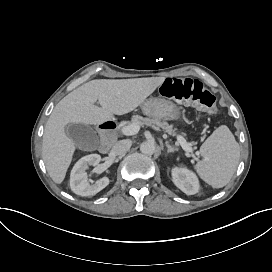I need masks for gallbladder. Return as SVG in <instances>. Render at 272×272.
<instances>
[{
  "instance_id": "1",
  "label": "gallbladder",
  "mask_w": 272,
  "mask_h": 272,
  "mask_svg": "<svg viewBox=\"0 0 272 272\" xmlns=\"http://www.w3.org/2000/svg\"><path fill=\"white\" fill-rule=\"evenodd\" d=\"M67 136L73 140L75 146L80 149H96L99 139L95 130L85 124L70 123L65 128Z\"/></svg>"
}]
</instances>
